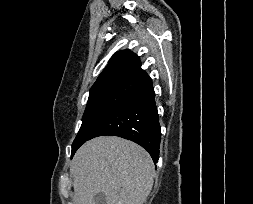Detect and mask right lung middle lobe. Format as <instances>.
Returning a JSON list of instances; mask_svg holds the SVG:
<instances>
[{"label":"right lung middle lobe","mask_w":253,"mask_h":204,"mask_svg":"<svg viewBox=\"0 0 253 204\" xmlns=\"http://www.w3.org/2000/svg\"><path fill=\"white\" fill-rule=\"evenodd\" d=\"M138 84L137 82L123 81L90 90L82 125L72 144L71 156L83 143L90 139L93 132L136 89Z\"/></svg>","instance_id":"1"}]
</instances>
